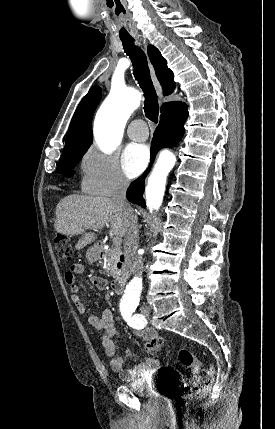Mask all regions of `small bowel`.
Listing matches in <instances>:
<instances>
[{
  "mask_svg": "<svg viewBox=\"0 0 275 429\" xmlns=\"http://www.w3.org/2000/svg\"><path fill=\"white\" fill-rule=\"evenodd\" d=\"M84 272V266L80 263L73 264L70 272L66 273L65 280L70 285L71 300L76 310L84 314L86 313V305L80 296V287L75 283V275ZM92 283L99 289H104L107 285L105 279L93 277ZM88 323L102 336V346L106 357L110 360V367L113 371L119 373L124 379L138 378L149 372L157 370L159 362L154 358H148L142 363L136 364L132 368H126L125 360L122 356H117V345L115 342L116 328L113 314L106 309L99 315L92 314L88 317ZM135 334L141 337L146 342V349L149 343L159 340L161 337L158 333L149 328L136 330ZM148 350V349H147Z\"/></svg>",
  "mask_w": 275,
  "mask_h": 429,
  "instance_id": "small-bowel-1",
  "label": "small bowel"
}]
</instances>
